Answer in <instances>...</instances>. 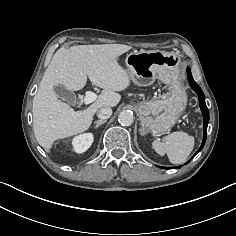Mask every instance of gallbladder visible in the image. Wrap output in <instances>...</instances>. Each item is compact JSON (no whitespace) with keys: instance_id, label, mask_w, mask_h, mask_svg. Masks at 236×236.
I'll use <instances>...</instances> for the list:
<instances>
[{"instance_id":"bac80fb5","label":"gallbladder","mask_w":236,"mask_h":236,"mask_svg":"<svg viewBox=\"0 0 236 236\" xmlns=\"http://www.w3.org/2000/svg\"><path fill=\"white\" fill-rule=\"evenodd\" d=\"M54 91L57 94L58 98L68 102L71 105L76 104V96L73 92L67 90L63 85L54 86Z\"/></svg>"}]
</instances>
